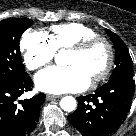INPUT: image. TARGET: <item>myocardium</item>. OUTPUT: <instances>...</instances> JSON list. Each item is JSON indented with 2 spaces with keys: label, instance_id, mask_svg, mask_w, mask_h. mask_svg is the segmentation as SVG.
<instances>
[{
  "label": "myocardium",
  "instance_id": "1",
  "mask_svg": "<svg viewBox=\"0 0 136 136\" xmlns=\"http://www.w3.org/2000/svg\"><path fill=\"white\" fill-rule=\"evenodd\" d=\"M97 43H103L106 46L108 51V59L101 72L90 80L91 86H96L97 84L105 80L113 68L115 62V50L112 42L105 36L96 35L83 39L68 49L69 52L80 54L84 53Z\"/></svg>",
  "mask_w": 136,
  "mask_h": 136
}]
</instances>
